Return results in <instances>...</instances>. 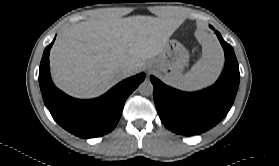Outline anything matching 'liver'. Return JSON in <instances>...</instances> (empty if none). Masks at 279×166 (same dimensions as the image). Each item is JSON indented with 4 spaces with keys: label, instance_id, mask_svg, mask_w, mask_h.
Instances as JSON below:
<instances>
[{
    "label": "liver",
    "instance_id": "6515ba94",
    "mask_svg": "<svg viewBox=\"0 0 279 166\" xmlns=\"http://www.w3.org/2000/svg\"><path fill=\"white\" fill-rule=\"evenodd\" d=\"M181 23L168 13L164 18L109 15L75 24L51 49L53 81L77 98L100 96L123 79V67L130 66L133 75L158 56Z\"/></svg>",
    "mask_w": 279,
    "mask_h": 166
}]
</instances>
